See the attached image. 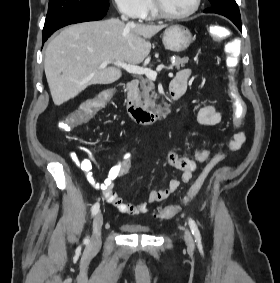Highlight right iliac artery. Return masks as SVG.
I'll use <instances>...</instances> for the list:
<instances>
[{"instance_id":"1","label":"right iliac artery","mask_w":280,"mask_h":283,"mask_svg":"<svg viewBox=\"0 0 280 283\" xmlns=\"http://www.w3.org/2000/svg\"><path fill=\"white\" fill-rule=\"evenodd\" d=\"M99 208H100V205H99L98 202L93 205V207H92V216H94V215H96L98 213ZM88 241H89V238L87 237L85 239V242H88Z\"/></svg>"}]
</instances>
